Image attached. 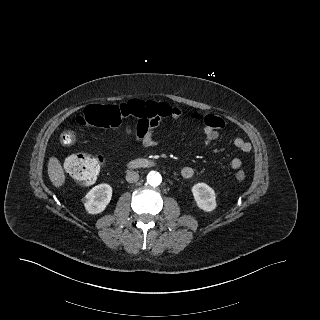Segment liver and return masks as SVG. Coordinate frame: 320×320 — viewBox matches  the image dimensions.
I'll use <instances>...</instances> for the list:
<instances>
[{
    "label": "liver",
    "instance_id": "obj_1",
    "mask_svg": "<svg viewBox=\"0 0 320 320\" xmlns=\"http://www.w3.org/2000/svg\"><path fill=\"white\" fill-rule=\"evenodd\" d=\"M48 175L55 187H61L66 179L64 170L56 157H50L48 162Z\"/></svg>",
    "mask_w": 320,
    "mask_h": 320
}]
</instances>
